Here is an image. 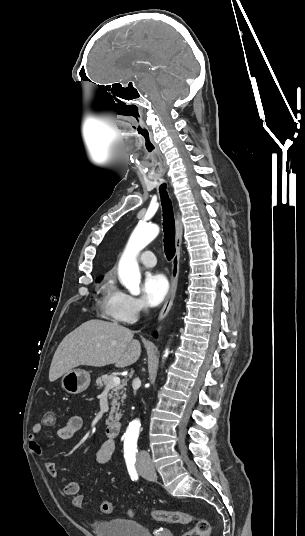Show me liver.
I'll return each instance as SVG.
<instances>
[{"label":"liver","mask_w":305,"mask_h":536,"mask_svg":"<svg viewBox=\"0 0 305 536\" xmlns=\"http://www.w3.org/2000/svg\"><path fill=\"white\" fill-rule=\"evenodd\" d=\"M141 356L138 340L133 332L118 324L89 320L70 332L59 344L49 370L50 382H55L77 366H108L126 368Z\"/></svg>","instance_id":"1"}]
</instances>
